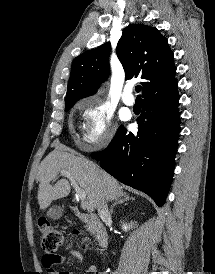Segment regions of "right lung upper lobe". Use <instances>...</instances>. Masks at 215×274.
<instances>
[{"mask_svg":"<svg viewBox=\"0 0 215 274\" xmlns=\"http://www.w3.org/2000/svg\"><path fill=\"white\" fill-rule=\"evenodd\" d=\"M109 42L84 52L72 63L65 105L93 95L109 73ZM117 56L125 70V79L142 80L143 98L177 84L176 67L168 41L155 27L130 24L122 33Z\"/></svg>","mask_w":215,"mask_h":274,"instance_id":"right-lung-upper-lobe-1","label":"right lung upper lobe"}]
</instances>
